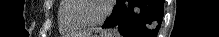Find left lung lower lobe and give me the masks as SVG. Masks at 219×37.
Masks as SVG:
<instances>
[{
  "label": "left lung lower lobe",
  "mask_w": 219,
  "mask_h": 37,
  "mask_svg": "<svg viewBox=\"0 0 219 37\" xmlns=\"http://www.w3.org/2000/svg\"><path fill=\"white\" fill-rule=\"evenodd\" d=\"M164 0H117L110 17L102 26H117L124 37H156L160 28Z\"/></svg>",
  "instance_id": "obj_1"
}]
</instances>
